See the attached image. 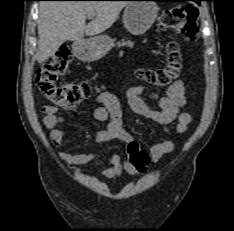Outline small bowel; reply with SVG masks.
<instances>
[{
    "mask_svg": "<svg viewBox=\"0 0 234 231\" xmlns=\"http://www.w3.org/2000/svg\"><path fill=\"white\" fill-rule=\"evenodd\" d=\"M126 99L134 113L150 119L163 127V133H169L171 127L175 124L177 134H183L188 129L191 117L188 113L181 112L187 104L185 87L182 81H175L168 88L166 95H159L154 91L145 89L141 86H132L127 90ZM146 99L157 104L158 109H151ZM100 104L94 111V117L107 122L106 128L96 134V140L99 143H105L112 140H119L128 144L133 140L131 134L123 128L122 111L119 100L113 94L103 92L97 97ZM44 113L43 124L49 132L52 145L58 148L64 139L65 131L60 127L66 120L65 116L59 115L55 107L43 106ZM175 149V144L170 140L153 142L149 147L152 162H158L164 155L171 153ZM60 159L70 167L92 164L98 160L96 152L87 153H67L59 152ZM111 166L101 172L102 176L108 179H114L123 173H135L136 168L128 161H122V158L114 153L109 157Z\"/></svg>",
    "mask_w": 234,
    "mask_h": 231,
    "instance_id": "small-bowel-1",
    "label": "small bowel"
}]
</instances>
